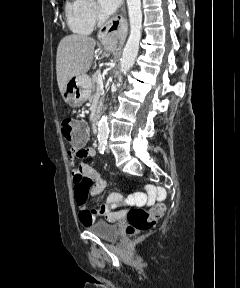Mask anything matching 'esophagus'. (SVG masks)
I'll list each match as a JSON object with an SVG mask.
<instances>
[{
  "instance_id": "obj_1",
  "label": "esophagus",
  "mask_w": 240,
  "mask_h": 288,
  "mask_svg": "<svg viewBox=\"0 0 240 288\" xmlns=\"http://www.w3.org/2000/svg\"><path fill=\"white\" fill-rule=\"evenodd\" d=\"M127 35V20L125 5L121 8V12L111 18L99 31V40L108 46L116 47L118 44L122 46Z\"/></svg>"
}]
</instances>
